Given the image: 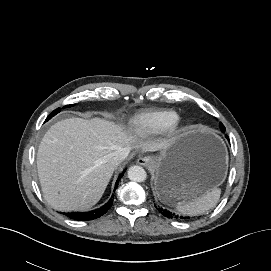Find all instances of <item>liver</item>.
Instances as JSON below:
<instances>
[{
    "label": "liver",
    "instance_id": "6515ba94",
    "mask_svg": "<svg viewBox=\"0 0 271 271\" xmlns=\"http://www.w3.org/2000/svg\"><path fill=\"white\" fill-rule=\"evenodd\" d=\"M168 140L138 139L101 119L70 118L46 132L37 153V169L45 200L59 211H82L102 197L115 166L109 156L131 145L145 152L165 149Z\"/></svg>",
    "mask_w": 271,
    "mask_h": 271
}]
</instances>
